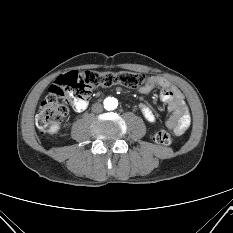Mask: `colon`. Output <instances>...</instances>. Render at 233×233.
Listing matches in <instances>:
<instances>
[{"instance_id":"1","label":"colon","mask_w":233,"mask_h":233,"mask_svg":"<svg viewBox=\"0 0 233 233\" xmlns=\"http://www.w3.org/2000/svg\"><path fill=\"white\" fill-rule=\"evenodd\" d=\"M148 76L143 73L122 72H68L57 78L48 94L41 102L36 113L35 123L40 132L59 122L74 108L78 102L86 101L93 90L98 87L122 85L140 88L146 85ZM152 140L160 145H170L176 138L166 131H157Z\"/></svg>"}]
</instances>
